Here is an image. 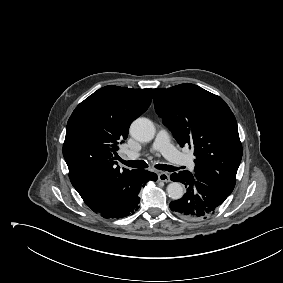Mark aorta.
Masks as SVG:
<instances>
[{
    "label": "aorta",
    "instance_id": "aorta-1",
    "mask_svg": "<svg viewBox=\"0 0 283 283\" xmlns=\"http://www.w3.org/2000/svg\"><path fill=\"white\" fill-rule=\"evenodd\" d=\"M155 126L147 118H137L130 126L131 136L140 142H149L155 136ZM168 196L173 200L182 198L184 194L183 187L178 182H172L167 186Z\"/></svg>",
    "mask_w": 283,
    "mask_h": 283
}]
</instances>
